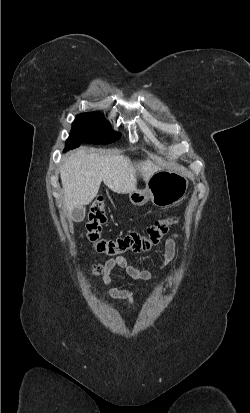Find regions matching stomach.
<instances>
[{"label": "stomach", "instance_id": "1", "mask_svg": "<svg viewBox=\"0 0 250 413\" xmlns=\"http://www.w3.org/2000/svg\"><path fill=\"white\" fill-rule=\"evenodd\" d=\"M188 190L187 177L179 172L161 170L153 174L144 190L129 193V200L135 206H143L149 200L161 208H168L180 202Z\"/></svg>", "mask_w": 250, "mask_h": 413}]
</instances>
